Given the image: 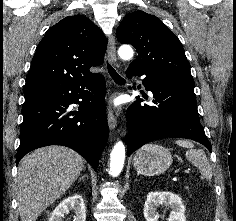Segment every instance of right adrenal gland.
Segmentation results:
<instances>
[{"label": "right adrenal gland", "instance_id": "1", "mask_svg": "<svg viewBox=\"0 0 236 221\" xmlns=\"http://www.w3.org/2000/svg\"><path fill=\"white\" fill-rule=\"evenodd\" d=\"M85 177H86V174H84L83 176H81V177L79 178V181H84V180H85Z\"/></svg>", "mask_w": 236, "mask_h": 221}]
</instances>
